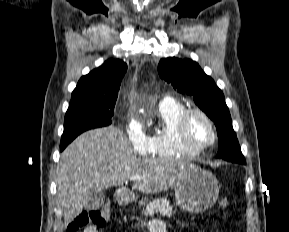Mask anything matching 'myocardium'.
<instances>
[{
  "label": "myocardium",
  "instance_id": "f54148a6",
  "mask_svg": "<svg viewBox=\"0 0 289 232\" xmlns=\"http://www.w3.org/2000/svg\"><path fill=\"white\" fill-rule=\"evenodd\" d=\"M193 115L201 116L209 125L212 133L211 140L203 145L194 144L188 136V124L189 120ZM177 135L181 143L188 149L195 152H202L207 148L211 147L217 140V129L215 123L210 118V116L199 108H187L180 115L177 122Z\"/></svg>",
  "mask_w": 289,
  "mask_h": 232
}]
</instances>
